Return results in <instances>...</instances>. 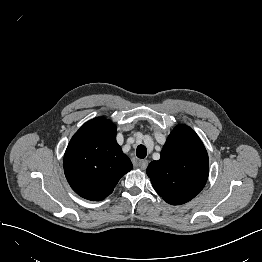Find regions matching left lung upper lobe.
<instances>
[{
    "mask_svg": "<svg viewBox=\"0 0 262 262\" xmlns=\"http://www.w3.org/2000/svg\"><path fill=\"white\" fill-rule=\"evenodd\" d=\"M209 174L207 151L198 135L186 125L170 133L161 158L147 168L155 191L169 204L181 205L204 187Z\"/></svg>",
    "mask_w": 262,
    "mask_h": 262,
    "instance_id": "obj_1",
    "label": "left lung upper lobe"
}]
</instances>
